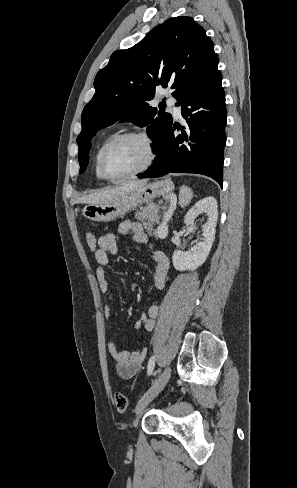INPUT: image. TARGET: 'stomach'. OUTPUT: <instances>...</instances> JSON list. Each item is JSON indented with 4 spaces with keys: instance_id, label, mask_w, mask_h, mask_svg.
Segmentation results:
<instances>
[{
    "instance_id": "0dacf381",
    "label": "stomach",
    "mask_w": 297,
    "mask_h": 488,
    "mask_svg": "<svg viewBox=\"0 0 297 488\" xmlns=\"http://www.w3.org/2000/svg\"><path fill=\"white\" fill-rule=\"evenodd\" d=\"M174 189L168 179L155 181L132 191L121 194L117 199L100 204H87L83 207V216L97 222H109L123 217L142 203L153 202L157 198H166Z\"/></svg>"
}]
</instances>
